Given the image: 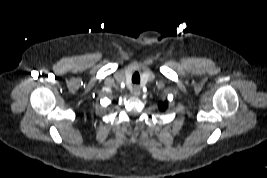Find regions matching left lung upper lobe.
Listing matches in <instances>:
<instances>
[{
	"label": "left lung upper lobe",
	"mask_w": 267,
	"mask_h": 178,
	"mask_svg": "<svg viewBox=\"0 0 267 178\" xmlns=\"http://www.w3.org/2000/svg\"><path fill=\"white\" fill-rule=\"evenodd\" d=\"M166 107H167V104H166V103H161V104L159 105V108H160L161 110H165Z\"/></svg>",
	"instance_id": "obj_1"
}]
</instances>
